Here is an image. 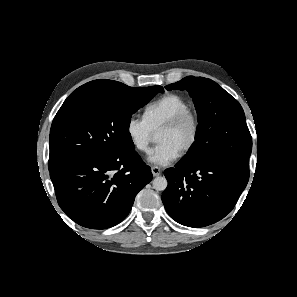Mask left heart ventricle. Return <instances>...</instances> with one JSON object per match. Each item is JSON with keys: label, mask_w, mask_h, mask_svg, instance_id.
<instances>
[{"label": "left heart ventricle", "mask_w": 297, "mask_h": 297, "mask_svg": "<svg viewBox=\"0 0 297 297\" xmlns=\"http://www.w3.org/2000/svg\"><path fill=\"white\" fill-rule=\"evenodd\" d=\"M192 132L190 122H185L183 125L174 130L160 131L157 135L159 143H169L177 150L181 151L185 144L188 142Z\"/></svg>", "instance_id": "b2bd125f"}]
</instances>
